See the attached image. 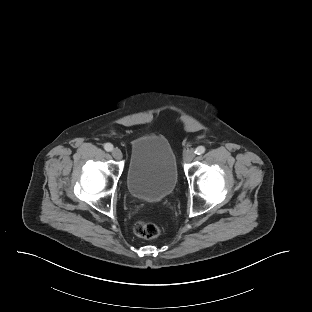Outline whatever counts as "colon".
Listing matches in <instances>:
<instances>
[{"mask_svg":"<svg viewBox=\"0 0 312 312\" xmlns=\"http://www.w3.org/2000/svg\"><path fill=\"white\" fill-rule=\"evenodd\" d=\"M134 234L143 239H154L161 234V228L155 223L138 221L133 227Z\"/></svg>","mask_w":312,"mask_h":312,"instance_id":"1","label":"colon"}]
</instances>
